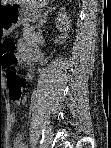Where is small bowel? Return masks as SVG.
Here are the masks:
<instances>
[{"instance_id":"1","label":"small bowel","mask_w":111,"mask_h":148,"mask_svg":"<svg viewBox=\"0 0 111 148\" xmlns=\"http://www.w3.org/2000/svg\"><path fill=\"white\" fill-rule=\"evenodd\" d=\"M18 141L20 142V141H21V139H19ZM17 147H22V148H24V147H26V145H25V144L20 143Z\"/></svg>"}]
</instances>
